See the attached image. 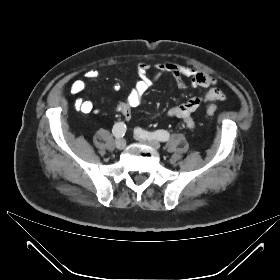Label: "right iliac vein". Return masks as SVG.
Returning a JSON list of instances; mask_svg holds the SVG:
<instances>
[{
	"instance_id": "63e3f726",
	"label": "right iliac vein",
	"mask_w": 280,
	"mask_h": 280,
	"mask_svg": "<svg viewBox=\"0 0 280 280\" xmlns=\"http://www.w3.org/2000/svg\"><path fill=\"white\" fill-rule=\"evenodd\" d=\"M126 147V141L125 139H118L116 141V148L119 149V150H122Z\"/></svg>"
}]
</instances>
